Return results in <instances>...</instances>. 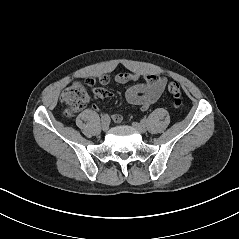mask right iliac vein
<instances>
[{"label":"right iliac vein","instance_id":"obj_1","mask_svg":"<svg viewBox=\"0 0 239 239\" xmlns=\"http://www.w3.org/2000/svg\"><path fill=\"white\" fill-rule=\"evenodd\" d=\"M101 128L103 131H107L109 129V123L103 122Z\"/></svg>","mask_w":239,"mask_h":239}]
</instances>
